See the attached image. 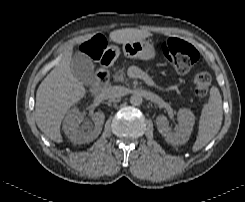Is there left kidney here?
Returning a JSON list of instances; mask_svg holds the SVG:
<instances>
[{"instance_id": "obj_1", "label": "left kidney", "mask_w": 245, "mask_h": 202, "mask_svg": "<svg viewBox=\"0 0 245 202\" xmlns=\"http://www.w3.org/2000/svg\"><path fill=\"white\" fill-rule=\"evenodd\" d=\"M177 120L176 130L172 132L166 116L160 115L156 118L159 133L167 143L173 146L185 144L189 140L195 123V116L191 110L181 108L177 113Z\"/></svg>"}]
</instances>
